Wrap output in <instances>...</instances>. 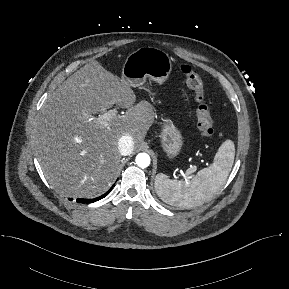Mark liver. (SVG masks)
<instances>
[{"mask_svg": "<svg viewBox=\"0 0 289 289\" xmlns=\"http://www.w3.org/2000/svg\"><path fill=\"white\" fill-rule=\"evenodd\" d=\"M117 104L127 109L107 125L93 115ZM154 121L151 105L136 104L130 84L95 60L66 79L45 100L36 121V156L51 187L59 194L92 198L111 186L123 135L138 146Z\"/></svg>", "mask_w": 289, "mask_h": 289, "instance_id": "obj_1", "label": "liver"}]
</instances>
